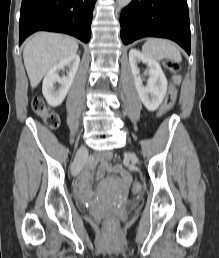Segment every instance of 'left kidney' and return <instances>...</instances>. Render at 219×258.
I'll list each match as a JSON object with an SVG mask.
<instances>
[{"instance_id": "5707ae66", "label": "left kidney", "mask_w": 219, "mask_h": 258, "mask_svg": "<svg viewBox=\"0 0 219 258\" xmlns=\"http://www.w3.org/2000/svg\"><path fill=\"white\" fill-rule=\"evenodd\" d=\"M138 62L145 63L148 66L146 85H143V78L137 67ZM129 63L140 100L149 111H155L164 99L168 84L160 64L136 49L130 50Z\"/></svg>"}]
</instances>
